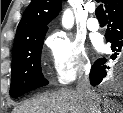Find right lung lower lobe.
Masks as SVG:
<instances>
[{"label":"right lung lower lobe","instance_id":"obj_1","mask_svg":"<svg viewBox=\"0 0 123 113\" xmlns=\"http://www.w3.org/2000/svg\"><path fill=\"white\" fill-rule=\"evenodd\" d=\"M106 12L109 16V25L105 37L111 42V49L114 54L111 56L115 59L123 46V0H111ZM105 58L98 59L91 68L90 82L95 86L99 84L106 76Z\"/></svg>","mask_w":123,"mask_h":113}]
</instances>
